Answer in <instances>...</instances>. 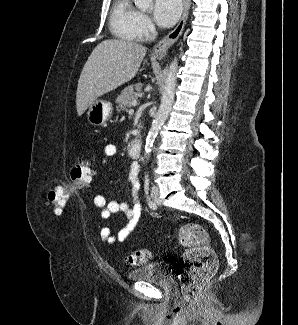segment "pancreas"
<instances>
[{
	"label": "pancreas",
	"instance_id": "obj_1",
	"mask_svg": "<svg viewBox=\"0 0 298 325\" xmlns=\"http://www.w3.org/2000/svg\"><path fill=\"white\" fill-rule=\"evenodd\" d=\"M142 90V82H137L134 86H126L121 90V94H118L117 98H115L116 102V110L121 112V110H126L128 106H132V100H136L139 92ZM138 128L141 126V122L137 124Z\"/></svg>",
	"mask_w": 298,
	"mask_h": 325
}]
</instances>
